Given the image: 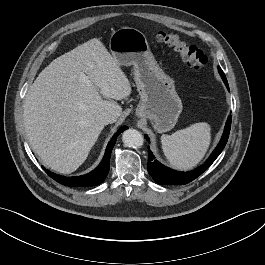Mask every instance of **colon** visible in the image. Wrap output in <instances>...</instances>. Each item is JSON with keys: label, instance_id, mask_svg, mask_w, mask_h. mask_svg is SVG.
<instances>
[{"label": "colon", "instance_id": "obj_1", "mask_svg": "<svg viewBox=\"0 0 265 265\" xmlns=\"http://www.w3.org/2000/svg\"><path fill=\"white\" fill-rule=\"evenodd\" d=\"M155 38L158 42L171 47L177 52L185 64L197 75H202L205 72L208 59L200 50L188 45L171 32H158Z\"/></svg>", "mask_w": 265, "mask_h": 265}]
</instances>
